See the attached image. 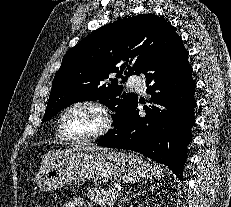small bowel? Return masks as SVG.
Here are the masks:
<instances>
[{
    "label": "small bowel",
    "mask_w": 231,
    "mask_h": 207,
    "mask_svg": "<svg viewBox=\"0 0 231 207\" xmlns=\"http://www.w3.org/2000/svg\"><path fill=\"white\" fill-rule=\"evenodd\" d=\"M63 207H86L84 200L81 197H74L63 204Z\"/></svg>",
    "instance_id": "small-bowel-1"
}]
</instances>
